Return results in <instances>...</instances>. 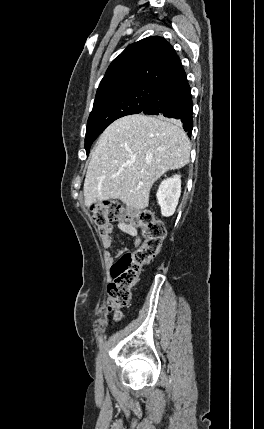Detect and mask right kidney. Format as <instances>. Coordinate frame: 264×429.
<instances>
[{
    "label": "right kidney",
    "mask_w": 264,
    "mask_h": 429,
    "mask_svg": "<svg viewBox=\"0 0 264 429\" xmlns=\"http://www.w3.org/2000/svg\"><path fill=\"white\" fill-rule=\"evenodd\" d=\"M181 194V176L174 175L163 180L159 185L156 197L164 217L172 216L178 205Z\"/></svg>",
    "instance_id": "right-kidney-1"
}]
</instances>
